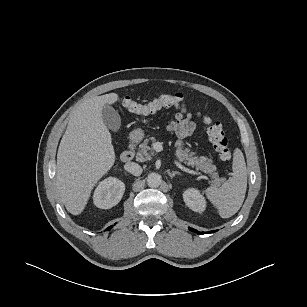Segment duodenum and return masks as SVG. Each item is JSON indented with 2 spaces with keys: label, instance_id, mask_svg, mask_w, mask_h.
Listing matches in <instances>:
<instances>
[{
  "label": "duodenum",
  "instance_id": "1",
  "mask_svg": "<svg viewBox=\"0 0 307 307\" xmlns=\"http://www.w3.org/2000/svg\"><path fill=\"white\" fill-rule=\"evenodd\" d=\"M139 141L138 135H133L129 140V147L121 153L120 159L122 162H130L134 158L135 148Z\"/></svg>",
  "mask_w": 307,
  "mask_h": 307
}]
</instances>
